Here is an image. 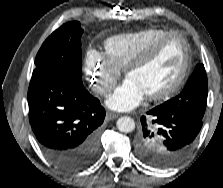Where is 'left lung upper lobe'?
Returning a JSON list of instances; mask_svg holds the SVG:
<instances>
[{
    "label": "left lung upper lobe",
    "mask_w": 223,
    "mask_h": 188,
    "mask_svg": "<svg viewBox=\"0 0 223 188\" xmlns=\"http://www.w3.org/2000/svg\"><path fill=\"white\" fill-rule=\"evenodd\" d=\"M208 82L203 64H197L183 91L159 107L170 114L202 119L206 109Z\"/></svg>",
    "instance_id": "1"
}]
</instances>
